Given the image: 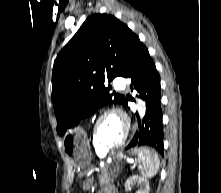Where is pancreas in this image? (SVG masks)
<instances>
[{"label":"pancreas","mask_w":221,"mask_h":193,"mask_svg":"<svg viewBox=\"0 0 221 193\" xmlns=\"http://www.w3.org/2000/svg\"><path fill=\"white\" fill-rule=\"evenodd\" d=\"M118 172L115 169H112L110 166H104L101 168V173L99 176L100 185L103 186L113 181L116 178Z\"/></svg>","instance_id":"pancreas-1"}]
</instances>
